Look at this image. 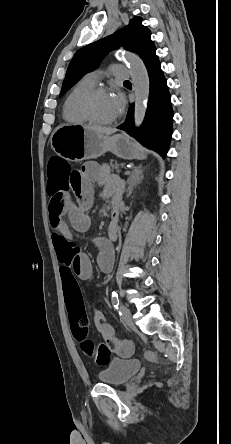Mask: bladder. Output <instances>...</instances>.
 Wrapping results in <instances>:
<instances>
[{
	"label": "bladder",
	"mask_w": 231,
	"mask_h": 444,
	"mask_svg": "<svg viewBox=\"0 0 231 444\" xmlns=\"http://www.w3.org/2000/svg\"><path fill=\"white\" fill-rule=\"evenodd\" d=\"M141 368V362L133 359L113 358L99 372V380L107 385L119 386L128 381Z\"/></svg>",
	"instance_id": "bladder-1"
}]
</instances>
